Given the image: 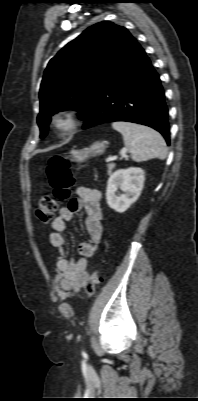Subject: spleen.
<instances>
[{"label": "spleen", "mask_w": 198, "mask_h": 401, "mask_svg": "<svg viewBox=\"0 0 198 401\" xmlns=\"http://www.w3.org/2000/svg\"><path fill=\"white\" fill-rule=\"evenodd\" d=\"M112 127L122 134L124 144L130 150L134 161L142 162L154 158L164 160L166 158L167 146L157 131L123 121L113 122Z\"/></svg>", "instance_id": "obj_1"}]
</instances>
